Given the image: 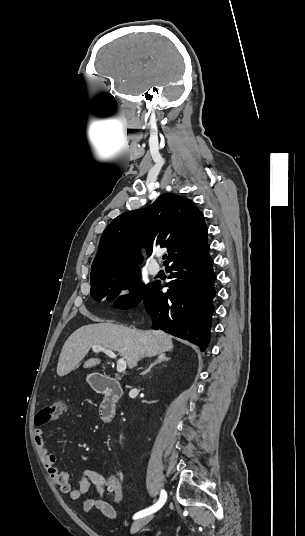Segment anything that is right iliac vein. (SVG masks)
I'll return each mask as SVG.
<instances>
[{"label":"right iliac vein","instance_id":"obj_1","mask_svg":"<svg viewBox=\"0 0 305 536\" xmlns=\"http://www.w3.org/2000/svg\"><path fill=\"white\" fill-rule=\"evenodd\" d=\"M152 519V516H146L140 519H137L134 521L131 527V533L135 534L138 532L143 526H145L150 520Z\"/></svg>","mask_w":305,"mask_h":536}]
</instances>
